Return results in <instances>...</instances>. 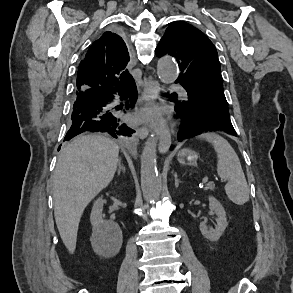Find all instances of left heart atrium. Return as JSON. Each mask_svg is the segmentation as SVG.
I'll use <instances>...</instances> for the list:
<instances>
[{"instance_id": "1", "label": "left heart atrium", "mask_w": 293, "mask_h": 293, "mask_svg": "<svg viewBox=\"0 0 293 293\" xmlns=\"http://www.w3.org/2000/svg\"><path fill=\"white\" fill-rule=\"evenodd\" d=\"M156 114L157 111L155 109L147 108L136 117V120L150 121L155 118Z\"/></svg>"}]
</instances>
